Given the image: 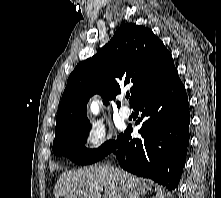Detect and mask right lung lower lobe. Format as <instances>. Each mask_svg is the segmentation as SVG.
<instances>
[{
	"label": "right lung lower lobe",
	"instance_id": "right-lung-lower-lobe-1",
	"mask_svg": "<svg viewBox=\"0 0 221 198\" xmlns=\"http://www.w3.org/2000/svg\"><path fill=\"white\" fill-rule=\"evenodd\" d=\"M144 121L132 139L129 126L113 150L120 166L138 176L174 189L180 180L189 143V103L177 70L148 92L135 106Z\"/></svg>",
	"mask_w": 221,
	"mask_h": 198
}]
</instances>
